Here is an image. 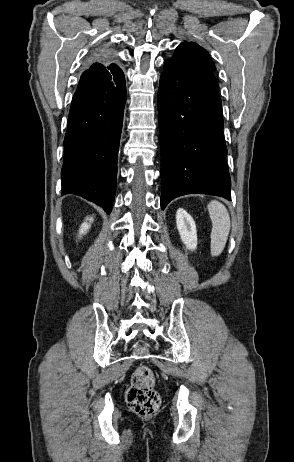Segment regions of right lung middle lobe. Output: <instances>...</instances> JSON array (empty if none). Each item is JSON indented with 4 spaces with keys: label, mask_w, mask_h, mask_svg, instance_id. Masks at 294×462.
I'll use <instances>...</instances> for the list:
<instances>
[{
    "label": "right lung middle lobe",
    "mask_w": 294,
    "mask_h": 462,
    "mask_svg": "<svg viewBox=\"0 0 294 462\" xmlns=\"http://www.w3.org/2000/svg\"><path fill=\"white\" fill-rule=\"evenodd\" d=\"M106 51H108V49L105 46H103L96 50V54L101 53V52H106Z\"/></svg>",
    "instance_id": "right-lung-middle-lobe-1"
}]
</instances>
